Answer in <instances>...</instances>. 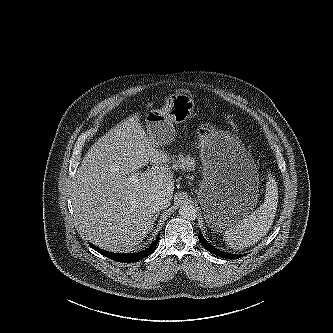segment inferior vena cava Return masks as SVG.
<instances>
[{
    "label": "inferior vena cava",
    "mask_w": 333,
    "mask_h": 333,
    "mask_svg": "<svg viewBox=\"0 0 333 333\" xmlns=\"http://www.w3.org/2000/svg\"><path fill=\"white\" fill-rule=\"evenodd\" d=\"M170 205V199L164 194H157L153 199V208L159 211L167 208Z\"/></svg>",
    "instance_id": "obj_1"
}]
</instances>
